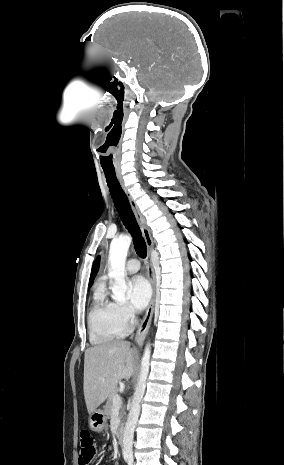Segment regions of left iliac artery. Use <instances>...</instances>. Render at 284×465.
Wrapping results in <instances>:
<instances>
[{
	"label": "left iliac artery",
	"instance_id": "1",
	"mask_svg": "<svg viewBox=\"0 0 284 465\" xmlns=\"http://www.w3.org/2000/svg\"><path fill=\"white\" fill-rule=\"evenodd\" d=\"M128 465H133V460H128Z\"/></svg>",
	"mask_w": 284,
	"mask_h": 465
}]
</instances>
